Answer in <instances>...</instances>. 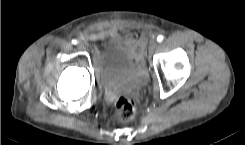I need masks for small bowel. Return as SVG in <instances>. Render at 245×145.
Listing matches in <instances>:
<instances>
[{
    "label": "small bowel",
    "mask_w": 245,
    "mask_h": 145,
    "mask_svg": "<svg viewBox=\"0 0 245 145\" xmlns=\"http://www.w3.org/2000/svg\"><path fill=\"white\" fill-rule=\"evenodd\" d=\"M108 33H109V31H107V30H99L97 32L90 34L89 39L91 41H99V40L103 39L105 36H107Z\"/></svg>",
    "instance_id": "obj_1"
}]
</instances>
